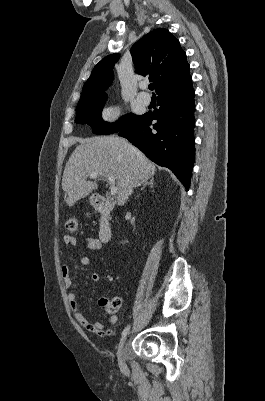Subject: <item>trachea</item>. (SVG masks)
Here are the masks:
<instances>
[{"label":"trachea","mask_w":265,"mask_h":401,"mask_svg":"<svg viewBox=\"0 0 265 401\" xmlns=\"http://www.w3.org/2000/svg\"><path fill=\"white\" fill-rule=\"evenodd\" d=\"M149 90H154V84L150 83V85L148 86Z\"/></svg>","instance_id":"trachea-1"}]
</instances>
